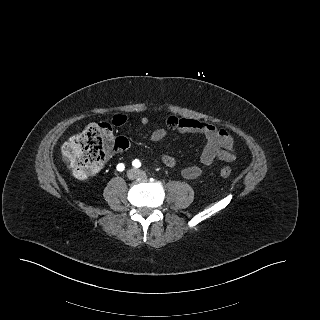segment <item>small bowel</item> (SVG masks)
Listing matches in <instances>:
<instances>
[{"instance_id":"c3829d8e","label":"small bowel","mask_w":320,"mask_h":320,"mask_svg":"<svg viewBox=\"0 0 320 320\" xmlns=\"http://www.w3.org/2000/svg\"><path fill=\"white\" fill-rule=\"evenodd\" d=\"M148 121L147 117L140 119L142 125H147ZM125 122V115H116L113 118L115 125H122ZM169 131L201 134L206 139V145L200 155L199 163L186 166L182 169V175L187 180L198 178L205 167L212 165L218 160L231 162L236 158V142L234 137L227 130L218 129L213 124L196 119L169 116L166 120V127L153 130L150 134V140L152 142H159L168 135ZM162 162L170 169H174L176 166V159L170 154L163 155Z\"/></svg>"}]
</instances>
